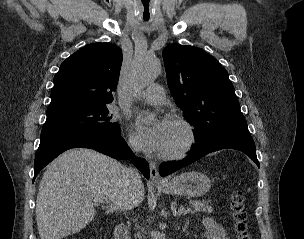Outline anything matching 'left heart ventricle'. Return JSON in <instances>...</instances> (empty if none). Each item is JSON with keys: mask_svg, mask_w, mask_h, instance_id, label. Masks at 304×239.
I'll list each match as a JSON object with an SVG mask.
<instances>
[{"mask_svg": "<svg viewBox=\"0 0 304 239\" xmlns=\"http://www.w3.org/2000/svg\"><path fill=\"white\" fill-rule=\"evenodd\" d=\"M183 139L184 135L181 128L172 123L163 152L178 147L183 142Z\"/></svg>", "mask_w": 304, "mask_h": 239, "instance_id": "left-heart-ventricle-1", "label": "left heart ventricle"}]
</instances>
